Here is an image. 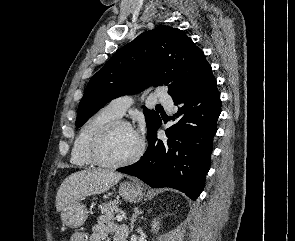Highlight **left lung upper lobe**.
Returning <instances> with one entry per match:
<instances>
[{
  "label": "left lung upper lobe",
  "mask_w": 295,
  "mask_h": 241,
  "mask_svg": "<svg viewBox=\"0 0 295 241\" xmlns=\"http://www.w3.org/2000/svg\"><path fill=\"white\" fill-rule=\"evenodd\" d=\"M210 75L211 66L191 38L178 28L158 26L122 47L90 79L79 103L76 127L122 95L166 85L174 99ZM143 112L149 138L161 118L146 107Z\"/></svg>",
  "instance_id": "left-lung-upper-lobe-1"
}]
</instances>
